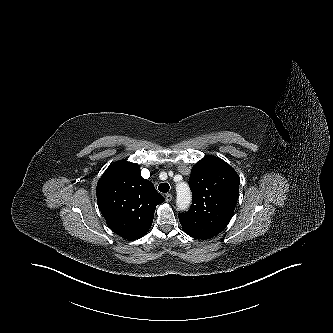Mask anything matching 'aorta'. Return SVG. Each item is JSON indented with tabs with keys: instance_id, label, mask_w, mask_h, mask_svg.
I'll list each match as a JSON object with an SVG mask.
<instances>
[{
	"instance_id": "aorta-1",
	"label": "aorta",
	"mask_w": 333,
	"mask_h": 333,
	"mask_svg": "<svg viewBox=\"0 0 333 333\" xmlns=\"http://www.w3.org/2000/svg\"><path fill=\"white\" fill-rule=\"evenodd\" d=\"M177 191V207L180 210H185L191 203V192L186 183H179L176 186Z\"/></svg>"
}]
</instances>
